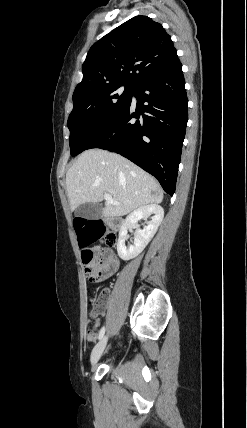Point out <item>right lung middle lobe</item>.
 <instances>
[{"label": "right lung middle lobe", "instance_id": "obj_1", "mask_svg": "<svg viewBox=\"0 0 247 428\" xmlns=\"http://www.w3.org/2000/svg\"><path fill=\"white\" fill-rule=\"evenodd\" d=\"M115 86L88 92L73 98L68 118L70 150L75 156L104 133L130 104L134 88Z\"/></svg>", "mask_w": 247, "mask_h": 428}]
</instances>
